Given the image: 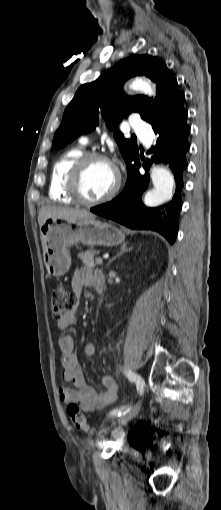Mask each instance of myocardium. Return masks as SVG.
Segmentation results:
<instances>
[{
	"label": "myocardium",
	"instance_id": "1",
	"mask_svg": "<svg viewBox=\"0 0 221 510\" xmlns=\"http://www.w3.org/2000/svg\"><path fill=\"white\" fill-rule=\"evenodd\" d=\"M94 161H103L111 164L115 170L116 181L110 192H108L104 196L97 199H87L83 195L81 189V181L87 165ZM121 182H122L121 174L116 165L108 156L98 152H87L82 154L72 165L67 176L66 188L70 196L77 203L84 206H97L111 201L118 194L121 188Z\"/></svg>",
	"mask_w": 221,
	"mask_h": 510
}]
</instances>
